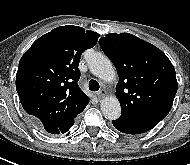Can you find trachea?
<instances>
[{"label":"trachea","instance_id":"3493384b","mask_svg":"<svg viewBox=\"0 0 190 165\" xmlns=\"http://www.w3.org/2000/svg\"><path fill=\"white\" fill-rule=\"evenodd\" d=\"M100 88L99 83L96 80L91 79L89 81V90L98 91Z\"/></svg>","mask_w":190,"mask_h":165}]
</instances>
